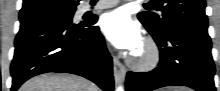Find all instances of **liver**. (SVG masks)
Returning <instances> with one entry per match:
<instances>
[{"instance_id":"obj_1","label":"liver","mask_w":220,"mask_h":91,"mask_svg":"<svg viewBox=\"0 0 220 91\" xmlns=\"http://www.w3.org/2000/svg\"><path fill=\"white\" fill-rule=\"evenodd\" d=\"M19 91H99V88L80 76L48 73L31 78Z\"/></svg>"}]
</instances>
